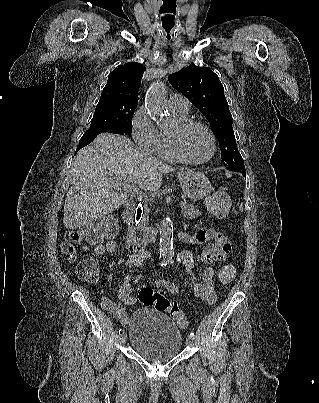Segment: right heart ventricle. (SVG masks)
Segmentation results:
<instances>
[{
	"instance_id": "e07e8e85",
	"label": "right heart ventricle",
	"mask_w": 319,
	"mask_h": 403,
	"mask_svg": "<svg viewBox=\"0 0 319 403\" xmlns=\"http://www.w3.org/2000/svg\"><path fill=\"white\" fill-rule=\"evenodd\" d=\"M170 111L176 122L187 119V113H181L175 110ZM159 133H160V148L158 152L159 156L168 161H178L171 148L169 132L159 131Z\"/></svg>"
}]
</instances>
